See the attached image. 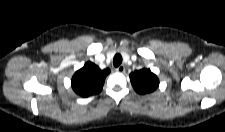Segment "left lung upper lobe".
<instances>
[{
	"label": "left lung upper lobe",
	"instance_id": "1",
	"mask_svg": "<svg viewBox=\"0 0 225 132\" xmlns=\"http://www.w3.org/2000/svg\"><path fill=\"white\" fill-rule=\"evenodd\" d=\"M130 80L135 91L140 94L153 92L159 85L157 76L146 68L131 73Z\"/></svg>",
	"mask_w": 225,
	"mask_h": 132
}]
</instances>
